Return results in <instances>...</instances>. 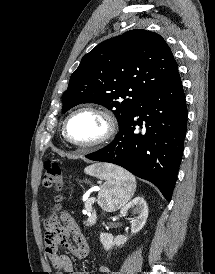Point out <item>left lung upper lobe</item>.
<instances>
[{
	"instance_id": "5c2ea615",
	"label": "left lung upper lobe",
	"mask_w": 215,
	"mask_h": 274,
	"mask_svg": "<svg viewBox=\"0 0 215 274\" xmlns=\"http://www.w3.org/2000/svg\"><path fill=\"white\" fill-rule=\"evenodd\" d=\"M178 72L158 34L135 29L98 44L81 60L63 93L62 112L81 103L113 110L119 127L152 91Z\"/></svg>"
}]
</instances>
